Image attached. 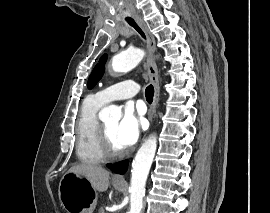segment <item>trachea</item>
Masks as SVG:
<instances>
[{
	"instance_id": "obj_1",
	"label": "trachea",
	"mask_w": 270,
	"mask_h": 213,
	"mask_svg": "<svg viewBox=\"0 0 270 213\" xmlns=\"http://www.w3.org/2000/svg\"><path fill=\"white\" fill-rule=\"evenodd\" d=\"M127 22L133 26L137 31L138 33L143 37L145 38V34L144 32L142 31V29L135 23V21L133 19H127ZM145 96H146V99L149 103H151L153 101V96H154V87L152 85H149L146 90H145Z\"/></svg>"
}]
</instances>
